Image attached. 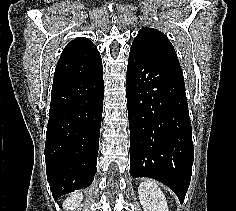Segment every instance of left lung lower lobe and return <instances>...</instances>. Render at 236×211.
Returning a JSON list of instances; mask_svg holds the SVG:
<instances>
[{"label": "left lung lower lobe", "instance_id": "left-lung-lower-lobe-1", "mask_svg": "<svg viewBox=\"0 0 236 211\" xmlns=\"http://www.w3.org/2000/svg\"><path fill=\"white\" fill-rule=\"evenodd\" d=\"M126 97L130 175L162 182L182 203L194 155L182 70L130 52Z\"/></svg>", "mask_w": 236, "mask_h": 211}]
</instances>
